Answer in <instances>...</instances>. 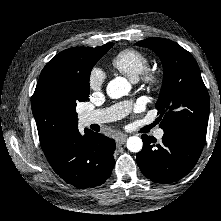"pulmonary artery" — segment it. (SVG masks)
I'll return each mask as SVG.
<instances>
[{
	"mask_svg": "<svg viewBox=\"0 0 221 221\" xmlns=\"http://www.w3.org/2000/svg\"><path fill=\"white\" fill-rule=\"evenodd\" d=\"M130 106V103L125 101L106 109L83 113L80 117V122L83 126L110 122L125 115L129 111ZM163 135L164 131L161 128L157 129L154 133V136L158 139L162 138Z\"/></svg>",
	"mask_w": 221,
	"mask_h": 221,
	"instance_id": "obj_1",
	"label": "pulmonary artery"
}]
</instances>
